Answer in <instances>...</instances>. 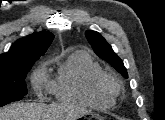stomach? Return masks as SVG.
<instances>
[{"mask_svg": "<svg viewBox=\"0 0 165 120\" xmlns=\"http://www.w3.org/2000/svg\"><path fill=\"white\" fill-rule=\"evenodd\" d=\"M92 118L101 119L102 117H100L98 114L93 112H85L78 117V119H92Z\"/></svg>", "mask_w": 165, "mask_h": 120, "instance_id": "stomach-1", "label": "stomach"}]
</instances>
